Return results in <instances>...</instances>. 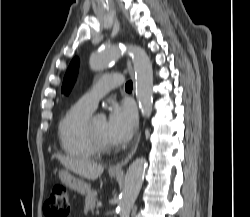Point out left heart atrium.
I'll use <instances>...</instances> for the list:
<instances>
[{
    "mask_svg": "<svg viewBox=\"0 0 250 217\" xmlns=\"http://www.w3.org/2000/svg\"><path fill=\"white\" fill-rule=\"evenodd\" d=\"M137 128V114L129 102L114 103L107 119V134L112 144H125Z\"/></svg>",
    "mask_w": 250,
    "mask_h": 217,
    "instance_id": "left-heart-atrium-1",
    "label": "left heart atrium"
}]
</instances>
